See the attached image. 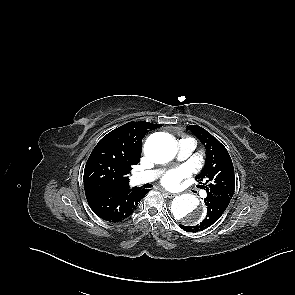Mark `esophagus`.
<instances>
[{"instance_id":"1","label":"esophagus","mask_w":295,"mask_h":295,"mask_svg":"<svg viewBox=\"0 0 295 295\" xmlns=\"http://www.w3.org/2000/svg\"><path fill=\"white\" fill-rule=\"evenodd\" d=\"M163 192V194L165 195V196H167V197H169V198H173L176 194H174V193H170V192H167V191H165V190H163L162 191Z\"/></svg>"}]
</instances>
